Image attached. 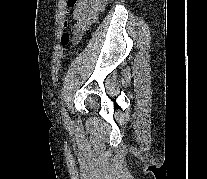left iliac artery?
<instances>
[{"instance_id": "1", "label": "left iliac artery", "mask_w": 207, "mask_h": 179, "mask_svg": "<svg viewBox=\"0 0 207 179\" xmlns=\"http://www.w3.org/2000/svg\"><path fill=\"white\" fill-rule=\"evenodd\" d=\"M61 112H62L63 119L68 121L69 120V116L67 115V112H66L64 107L61 108Z\"/></svg>"}]
</instances>
